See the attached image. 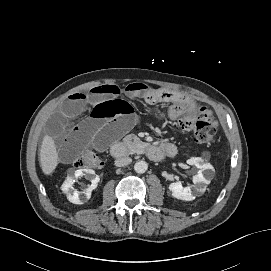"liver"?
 Returning <instances> with one entry per match:
<instances>
[{
  "label": "liver",
  "mask_w": 271,
  "mask_h": 271,
  "mask_svg": "<svg viewBox=\"0 0 271 271\" xmlns=\"http://www.w3.org/2000/svg\"><path fill=\"white\" fill-rule=\"evenodd\" d=\"M59 163L58 152L54 139L45 135L40 148V165L45 175H50Z\"/></svg>",
  "instance_id": "liver-1"
}]
</instances>
